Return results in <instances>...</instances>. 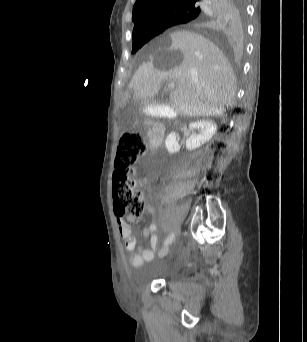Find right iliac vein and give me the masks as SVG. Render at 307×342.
<instances>
[{
  "label": "right iliac vein",
  "mask_w": 307,
  "mask_h": 342,
  "mask_svg": "<svg viewBox=\"0 0 307 342\" xmlns=\"http://www.w3.org/2000/svg\"><path fill=\"white\" fill-rule=\"evenodd\" d=\"M168 251H169V247H168V246L163 247V248L159 251V253H158L159 257H164V256H166V255L168 254Z\"/></svg>",
  "instance_id": "obj_1"
}]
</instances>
